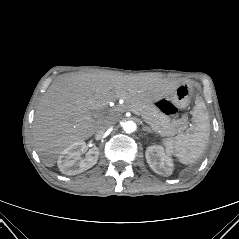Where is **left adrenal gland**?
Returning a JSON list of instances; mask_svg holds the SVG:
<instances>
[{
    "label": "left adrenal gland",
    "mask_w": 239,
    "mask_h": 239,
    "mask_svg": "<svg viewBox=\"0 0 239 239\" xmlns=\"http://www.w3.org/2000/svg\"><path fill=\"white\" fill-rule=\"evenodd\" d=\"M142 130L146 131L148 133H153V130L150 127L146 126V125H143Z\"/></svg>",
    "instance_id": "a2214340"
}]
</instances>
